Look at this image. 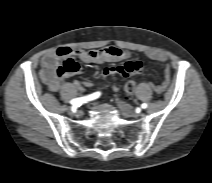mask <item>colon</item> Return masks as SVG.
<instances>
[{
  "label": "colon",
  "instance_id": "1",
  "mask_svg": "<svg viewBox=\"0 0 212 183\" xmlns=\"http://www.w3.org/2000/svg\"><path fill=\"white\" fill-rule=\"evenodd\" d=\"M80 71H81L80 65L72 58H67L56 68L55 74L57 78H62L67 74H75L79 73ZM134 88H135V82L132 80L126 82L124 86V89L128 94H131L134 91Z\"/></svg>",
  "mask_w": 212,
  "mask_h": 183
}]
</instances>
